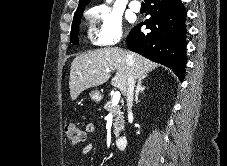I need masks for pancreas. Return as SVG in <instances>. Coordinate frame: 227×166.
<instances>
[{
  "mask_svg": "<svg viewBox=\"0 0 227 166\" xmlns=\"http://www.w3.org/2000/svg\"><path fill=\"white\" fill-rule=\"evenodd\" d=\"M104 109L110 112L114 117V134L119 135V132L124 128V116L120 105L113 106L111 101H107Z\"/></svg>",
  "mask_w": 227,
  "mask_h": 166,
  "instance_id": "cf45deb5",
  "label": "pancreas"
}]
</instances>
